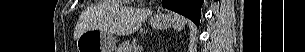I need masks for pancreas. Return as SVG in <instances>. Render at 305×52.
Wrapping results in <instances>:
<instances>
[{"mask_svg": "<svg viewBox=\"0 0 305 52\" xmlns=\"http://www.w3.org/2000/svg\"><path fill=\"white\" fill-rule=\"evenodd\" d=\"M134 46L129 42L123 43L118 47V52H132Z\"/></svg>", "mask_w": 305, "mask_h": 52, "instance_id": "obj_1", "label": "pancreas"}]
</instances>
